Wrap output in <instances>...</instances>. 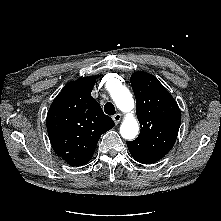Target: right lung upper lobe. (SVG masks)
Here are the masks:
<instances>
[{
  "mask_svg": "<svg viewBox=\"0 0 221 221\" xmlns=\"http://www.w3.org/2000/svg\"><path fill=\"white\" fill-rule=\"evenodd\" d=\"M96 76L67 83L47 114V131L56 154L73 166L86 164L102 134L114 127L91 97Z\"/></svg>",
  "mask_w": 221,
  "mask_h": 221,
  "instance_id": "1",
  "label": "right lung upper lobe"
}]
</instances>
